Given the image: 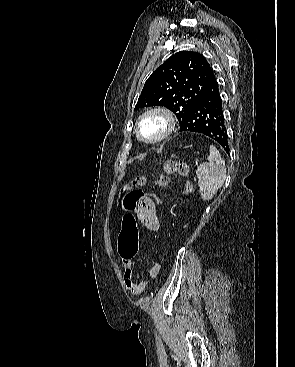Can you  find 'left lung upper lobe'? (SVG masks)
<instances>
[{
  "mask_svg": "<svg viewBox=\"0 0 295 367\" xmlns=\"http://www.w3.org/2000/svg\"><path fill=\"white\" fill-rule=\"evenodd\" d=\"M212 75L213 70L203 55L178 52L146 80L135 109L164 106L181 124Z\"/></svg>",
  "mask_w": 295,
  "mask_h": 367,
  "instance_id": "obj_1",
  "label": "left lung upper lobe"
}]
</instances>
